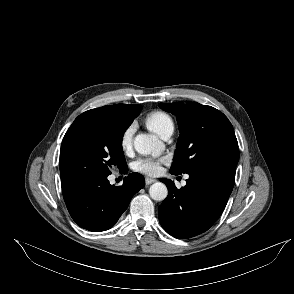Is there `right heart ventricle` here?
I'll use <instances>...</instances> for the list:
<instances>
[{"label": "right heart ventricle", "mask_w": 294, "mask_h": 294, "mask_svg": "<svg viewBox=\"0 0 294 294\" xmlns=\"http://www.w3.org/2000/svg\"><path fill=\"white\" fill-rule=\"evenodd\" d=\"M146 125L159 136L174 130V122L169 114L163 111H154L146 117Z\"/></svg>", "instance_id": "right-heart-ventricle-1"}]
</instances>
